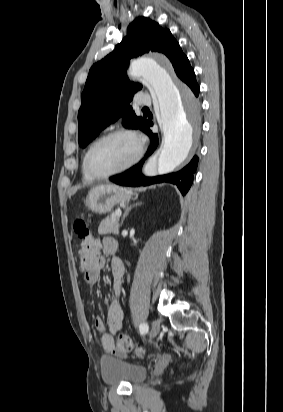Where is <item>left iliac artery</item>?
<instances>
[{
	"mask_svg": "<svg viewBox=\"0 0 283 412\" xmlns=\"http://www.w3.org/2000/svg\"><path fill=\"white\" fill-rule=\"evenodd\" d=\"M139 330L141 334H146L148 332V325L146 323L140 324Z\"/></svg>",
	"mask_w": 283,
	"mask_h": 412,
	"instance_id": "44dca946",
	"label": "left iliac artery"
}]
</instances>
